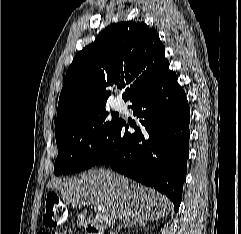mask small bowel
I'll return each mask as SVG.
<instances>
[{"label": "small bowel", "instance_id": "1", "mask_svg": "<svg viewBox=\"0 0 241 234\" xmlns=\"http://www.w3.org/2000/svg\"><path fill=\"white\" fill-rule=\"evenodd\" d=\"M44 234H50V233H44ZM55 234H65V233H55Z\"/></svg>", "mask_w": 241, "mask_h": 234}]
</instances>
